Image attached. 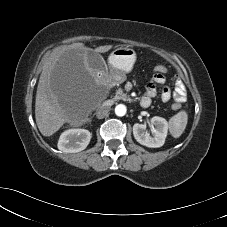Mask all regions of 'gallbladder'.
<instances>
[{
    "instance_id": "bac80fb5",
    "label": "gallbladder",
    "mask_w": 227,
    "mask_h": 227,
    "mask_svg": "<svg viewBox=\"0 0 227 227\" xmlns=\"http://www.w3.org/2000/svg\"><path fill=\"white\" fill-rule=\"evenodd\" d=\"M87 61L89 66L97 73H104L108 69L107 64L104 63L103 57L92 50L87 52Z\"/></svg>"
}]
</instances>
